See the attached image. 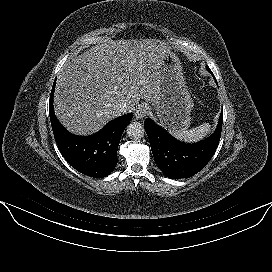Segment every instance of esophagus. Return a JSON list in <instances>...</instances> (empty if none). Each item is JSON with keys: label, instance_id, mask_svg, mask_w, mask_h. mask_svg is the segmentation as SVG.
<instances>
[{"label": "esophagus", "instance_id": "esophagus-1", "mask_svg": "<svg viewBox=\"0 0 272 272\" xmlns=\"http://www.w3.org/2000/svg\"><path fill=\"white\" fill-rule=\"evenodd\" d=\"M147 112H148V109H147L146 106H144V105H139V106L136 108L135 113H134L135 118H136L137 120L143 119V118L146 116Z\"/></svg>", "mask_w": 272, "mask_h": 272}]
</instances>
